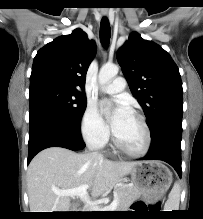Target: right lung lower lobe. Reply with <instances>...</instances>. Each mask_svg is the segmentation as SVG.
Segmentation results:
<instances>
[{
    "mask_svg": "<svg viewBox=\"0 0 203 219\" xmlns=\"http://www.w3.org/2000/svg\"><path fill=\"white\" fill-rule=\"evenodd\" d=\"M28 164L41 150L63 147L80 150L85 147L80 125L68 126L42 114H31L29 119Z\"/></svg>",
    "mask_w": 203,
    "mask_h": 219,
    "instance_id": "obj_1",
    "label": "right lung lower lobe"
}]
</instances>
